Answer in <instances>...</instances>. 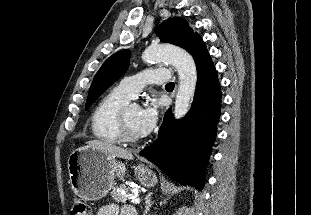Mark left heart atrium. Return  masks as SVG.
<instances>
[{"label": "left heart atrium", "instance_id": "1", "mask_svg": "<svg viewBox=\"0 0 311 215\" xmlns=\"http://www.w3.org/2000/svg\"><path fill=\"white\" fill-rule=\"evenodd\" d=\"M158 119V107L155 102L148 103L145 107L140 108L136 121L135 130L138 136L148 135L156 125Z\"/></svg>", "mask_w": 311, "mask_h": 215}]
</instances>
